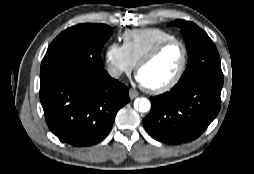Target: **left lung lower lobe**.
<instances>
[{"mask_svg":"<svg viewBox=\"0 0 254 174\" xmlns=\"http://www.w3.org/2000/svg\"><path fill=\"white\" fill-rule=\"evenodd\" d=\"M222 86L223 75H203L151 97V111L143 119L145 130L168 144L196 139L220 110Z\"/></svg>","mask_w":254,"mask_h":174,"instance_id":"obj_1","label":"left lung lower lobe"}]
</instances>
